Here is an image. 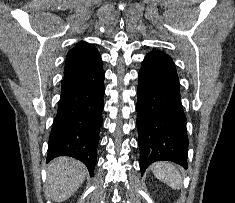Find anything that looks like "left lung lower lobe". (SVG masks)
I'll use <instances>...</instances> for the list:
<instances>
[{
	"label": "left lung lower lobe",
	"instance_id": "left-lung-lower-lobe-1",
	"mask_svg": "<svg viewBox=\"0 0 235 203\" xmlns=\"http://www.w3.org/2000/svg\"><path fill=\"white\" fill-rule=\"evenodd\" d=\"M137 95L141 173L159 160L187 168L186 116L175 65L167 54L152 51L146 55L139 71Z\"/></svg>",
	"mask_w": 235,
	"mask_h": 203
}]
</instances>
